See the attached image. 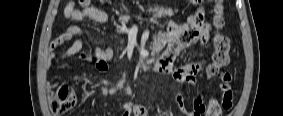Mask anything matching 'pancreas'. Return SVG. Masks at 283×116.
Segmentation results:
<instances>
[{"label":"pancreas","instance_id":"pancreas-1","mask_svg":"<svg viewBox=\"0 0 283 116\" xmlns=\"http://www.w3.org/2000/svg\"><path fill=\"white\" fill-rule=\"evenodd\" d=\"M149 12H152L153 17L154 18H161L162 16H173L174 15V11L172 9H167V8H163V7H154V8H150L148 10ZM130 18L127 17L126 21L127 22Z\"/></svg>","mask_w":283,"mask_h":116}]
</instances>
